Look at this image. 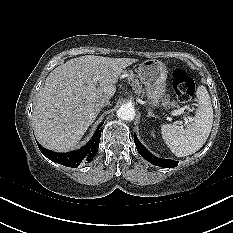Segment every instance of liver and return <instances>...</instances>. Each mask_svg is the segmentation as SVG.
Wrapping results in <instances>:
<instances>
[{
	"mask_svg": "<svg viewBox=\"0 0 233 233\" xmlns=\"http://www.w3.org/2000/svg\"><path fill=\"white\" fill-rule=\"evenodd\" d=\"M135 62L133 58L85 55L52 70L38 93L32 116L39 143L56 152L76 147L96 118L98 101L114 96L119 76Z\"/></svg>",
	"mask_w": 233,
	"mask_h": 233,
	"instance_id": "liver-1",
	"label": "liver"
}]
</instances>
